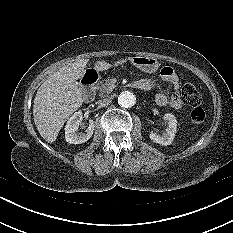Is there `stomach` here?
<instances>
[{
    "instance_id": "0dacf381",
    "label": "stomach",
    "mask_w": 233,
    "mask_h": 233,
    "mask_svg": "<svg viewBox=\"0 0 233 233\" xmlns=\"http://www.w3.org/2000/svg\"><path fill=\"white\" fill-rule=\"evenodd\" d=\"M132 63L134 66L147 73L155 72L159 66L157 59L149 56H136L132 59Z\"/></svg>"
}]
</instances>
